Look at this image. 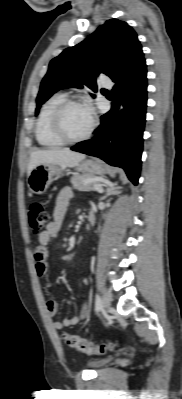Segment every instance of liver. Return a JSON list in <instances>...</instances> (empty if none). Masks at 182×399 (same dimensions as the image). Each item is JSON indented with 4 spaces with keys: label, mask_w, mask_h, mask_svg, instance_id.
I'll use <instances>...</instances> for the list:
<instances>
[{
    "label": "liver",
    "mask_w": 182,
    "mask_h": 399,
    "mask_svg": "<svg viewBox=\"0 0 182 399\" xmlns=\"http://www.w3.org/2000/svg\"><path fill=\"white\" fill-rule=\"evenodd\" d=\"M85 155L69 149L37 150L31 153L27 168V175L39 164L51 163L63 167H76Z\"/></svg>",
    "instance_id": "6515ba94"
}]
</instances>
